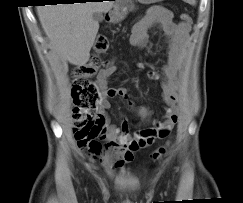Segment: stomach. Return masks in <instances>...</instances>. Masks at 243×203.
I'll use <instances>...</instances> for the list:
<instances>
[{
  "label": "stomach",
  "mask_w": 243,
  "mask_h": 203,
  "mask_svg": "<svg viewBox=\"0 0 243 203\" xmlns=\"http://www.w3.org/2000/svg\"><path fill=\"white\" fill-rule=\"evenodd\" d=\"M161 1L163 0H138L141 4H153ZM131 5L132 0H117L113 10L108 13V21L111 23L122 21Z\"/></svg>",
  "instance_id": "0dacf381"
}]
</instances>
